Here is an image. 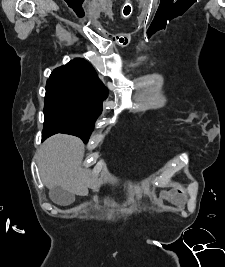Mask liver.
<instances>
[{
  "mask_svg": "<svg viewBox=\"0 0 225 267\" xmlns=\"http://www.w3.org/2000/svg\"><path fill=\"white\" fill-rule=\"evenodd\" d=\"M84 144L74 136L56 134L48 138L37 154L40 176L46 187L60 186L79 196H86L88 188H96L91 171L83 169L81 162ZM96 200V198H95Z\"/></svg>",
  "mask_w": 225,
  "mask_h": 267,
  "instance_id": "obj_1",
  "label": "liver"
}]
</instances>
